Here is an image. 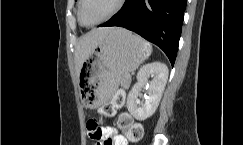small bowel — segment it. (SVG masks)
Wrapping results in <instances>:
<instances>
[{
  "label": "small bowel",
  "mask_w": 243,
  "mask_h": 145,
  "mask_svg": "<svg viewBox=\"0 0 243 145\" xmlns=\"http://www.w3.org/2000/svg\"><path fill=\"white\" fill-rule=\"evenodd\" d=\"M99 137H91L97 142L96 145H128V138L117 132V129L111 126L102 127L99 131Z\"/></svg>",
  "instance_id": "small-bowel-1"
}]
</instances>
